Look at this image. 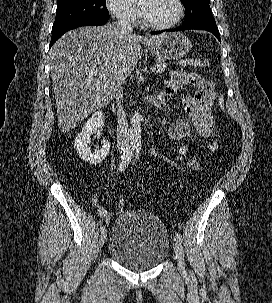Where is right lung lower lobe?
<instances>
[{"instance_id": "right-lung-lower-lobe-1", "label": "right lung lower lobe", "mask_w": 272, "mask_h": 303, "mask_svg": "<svg viewBox=\"0 0 272 303\" xmlns=\"http://www.w3.org/2000/svg\"><path fill=\"white\" fill-rule=\"evenodd\" d=\"M106 24L105 20H95V19H86V20H77L72 21L62 26L52 28V37L49 48L58 40L64 33L69 30L75 29L81 26H100Z\"/></svg>"}]
</instances>
